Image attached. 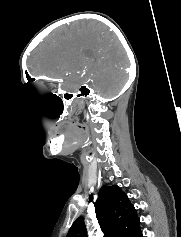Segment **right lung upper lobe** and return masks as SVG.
Returning <instances> with one entry per match:
<instances>
[{
    "label": "right lung upper lobe",
    "mask_w": 181,
    "mask_h": 237,
    "mask_svg": "<svg viewBox=\"0 0 181 237\" xmlns=\"http://www.w3.org/2000/svg\"><path fill=\"white\" fill-rule=\"evenodd\" d=\"M95 212L104 237H137L141 232L134 206L117 185L100 189ZM67 237H87L83 217L74 221Z\"/></svg>",
    "instance_id": "1"
}]
</instances>
